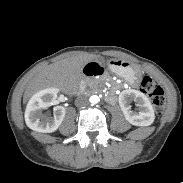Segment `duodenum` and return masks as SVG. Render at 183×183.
Masks as SVG:
<instances>
[{
  "mask_svg": "<svg viewBox=\"0 0 183 183\" xmlns=\"http://www.w3.org/2000/svg\"><path fill=\"white\" fill-rule=\"evenodd\" d=\"M83 74L86 78H96L102 76L104 70L98 63H92L84 67Z\"/></svg>",
  "mask_w": 183,
  "mask_h": 183,
  "instance_id": "410a0bca",
  "label": "duodenum"
}]
</instances>
